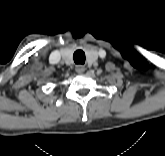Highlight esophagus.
Returning a JSON list of instances; mask_svg holds the SVG:
<instances>
[{
  "label": "esophagus",
  "mask_w": 165,
  "mask_h": 156,
  "mask_svg": "<svg viewBox=\"0 0 165 156\" xmlns=\"http://www.w3.org/2000/svg\"><path fill=\"white\" fill-rule=\"evenodd\" d=\"M75 71L77 73H83L85 71V67L83 65H76Z\"/></svg>",
  "instance_id": "obj_1"
}]
</instances>
